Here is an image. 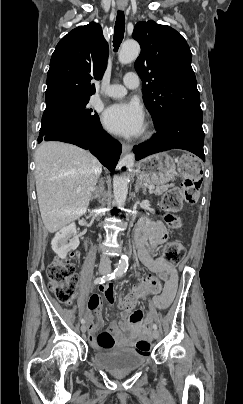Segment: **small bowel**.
Listing matches in <instances>:
<instances>
[{
  "label": "small bowel",
  "instance_id": "1",
  "mask_svg": "<svg viewBox=\"0 0 243 404\" xmlns=\"http://www.w3.org/2000/svg\"><path fill=\"white\" fill-rule=\"evenodd\" d=\"M135 239L141 262L152 272L158 274L163 281L162 292L154 295L152 302L156 309L165 310L174 298L178 283V274L175 267L162 258L154 256L155 252L167 239L165 227L160 222L141 221L137 226ZM100 291L106 301L113 304L115 298L113 286L101 287ZM88 306L98 316L102 308V296L100 294L91 295ZM155 314L154 310H150L146 314L141 310H136L120 325L112 323L110 326L111 333L120 345H130L148 330L155 318ZM101 325L102 320L100 318L96 322L89 319V333L92 342H94L95 332ZM128 331L129 334H127Z\"/></svg>",
  "mask_w": 243,
  "mask_h": 404
}]
</instances>
